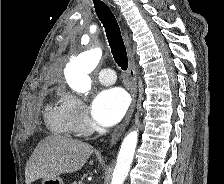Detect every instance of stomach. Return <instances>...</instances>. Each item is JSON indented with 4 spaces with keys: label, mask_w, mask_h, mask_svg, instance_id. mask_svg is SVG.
I'll use <instances>...</instances> for the list:
<instances>
[{
    "label": "stomach",
    "mask_w": 224,
    "mask_h": 184,
    "mask_svg": "<svg viewBox=\"0 0 224 184\" xmlns=\"http://www.w3.org/2000/svg\"><path fill=\"white\" fill-rule=\"evenodd\" d=\"M42 184H64V181L60 177L52 179L44 178Z\"/></svg>",
    "instance_id": "0dacf381"
}]
</instances>
